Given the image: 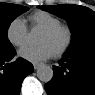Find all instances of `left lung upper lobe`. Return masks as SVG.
Segmentation results:
<instances>
[{
  "label": "left lung upper lobe",
  "mask_w": 95,
  "mask_h": 95,
  "mask_svg": "<svg viewBox=\"0 0 95 95\" xmlns=\"http://www.w3.org/2000/svg\"><path fill=\"white\" fill-rule=\"evenodd\" d=\"M52 14L66 19L72 32V43L68 53L95 47V12L91 9L71 4L40 6Z\"/></svg>",
  "instance_id": "left-lung-upper-lobe-1"
}]
</instances>
